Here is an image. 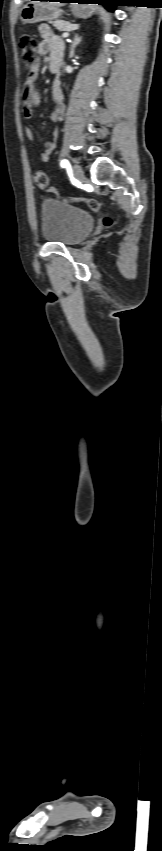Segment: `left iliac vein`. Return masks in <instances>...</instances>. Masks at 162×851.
Listing matches in <instances>:
<instances>
[{
	"label": "left iliac vein",
	"instance_id": "obj_1",
	"mask_svg": "<svg viewBox=\"0 0 162 851\" xmlns=\"http://www.w3.org/2000/svg\"><path fill=\"white\" fill-rule=\"evenodd\" d=\"M73 172L78 180L82 181L84 179V172L79 164L73 166Z\"/></svg>",
	"mask_w": 162,
	"mask_h": 851
}]
</instances>
